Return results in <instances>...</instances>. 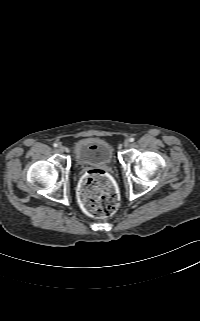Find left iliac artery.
Returning a JSON list of instances; mask_svg holds the SVG:
<instances>
[{"label": "left iliac artery", "mask_w": 200, "mask_h": 321, "mask_svg": "<svg viewBox=\"0 0 200 321\" xmlns=\"http://www.w3.org/2000/svg\"><path fill=\"white\" fill-rule=\"evenodd\" d=\"M129 141H130V142H133V141H134V138L131 137V138L129 139Z\"/></svg>", "instance_id": "44dca946"}]
</instances>
